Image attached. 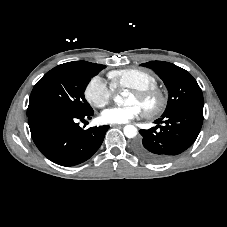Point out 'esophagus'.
<instances>
[{"instance_id":"esophagus-1","label":"esophagus","mask_w":227,"mask_h":227,"mask_svg":"<svg viewBox=\"0 0 227 227\" xmlns=\"http://www.w3.org/2000/svg\"><path fill=\"white\" fill-rule=\"evenodd\" d=\"M124 125L121 124H114L113 127H123Z\"/></svg>"}]
</instances>
